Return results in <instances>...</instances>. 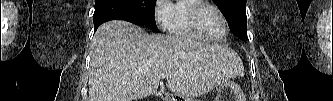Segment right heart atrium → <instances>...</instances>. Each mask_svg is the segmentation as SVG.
I'll use <instances>...</instances> for the list:
<instances>
[{"label":"right heart atrium","instance_id":"right-heart-atrium-1","mask_svg":"<svg viewBox=\"0 0 333 101\" xmlns=\"http://www.w3.org/2000/svg\"><path fill=\"white\" fill-rule=\"evenodd\" d=\"M170 13V3L167 0H157L155 2L154 14L156 22L162 28L167 27V20Z\"/></svg>","mask_w":333,"mask_h":101}]
</instances>
